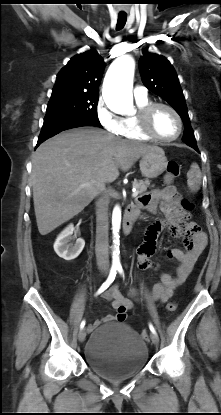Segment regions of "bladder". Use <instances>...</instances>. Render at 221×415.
<instances>
[{"label":"bladder","instance_id":"31cf9c89","mask_svg":"<svg viewBox=\"0 0 221 415\" xmlns=\"http://www.w3.org/2000/svg\"><path fill=\"white\" fill-rule=\"evenodd\" d=\"M148 357L145 341L124 322H112L97 328L85 347L88 366L110 380L139 373L147 365Z\"/></svg>","mask_w":221,"mask_h":415}]
</instances>
